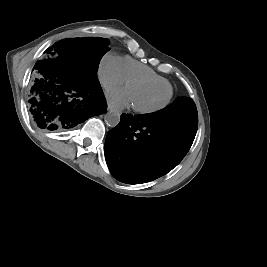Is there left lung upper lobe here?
<instances>
[{"label": "left lung upper lobe", "instance_id": "5c2ea615", "mask_svg": "<svg viewBox=\"0 0 267 267\" xmlns=\"http://www.w3.org/2000/svg\"><path fill=\"white\" fill-rule=\"evenodd\" d=\"M154 116H176L189 118L198 121L197 109L191 98L180 97L166 108L155 113H150Z\"/></svg>", "mask_w": 267, "mask_h": 267}]
</instances>
